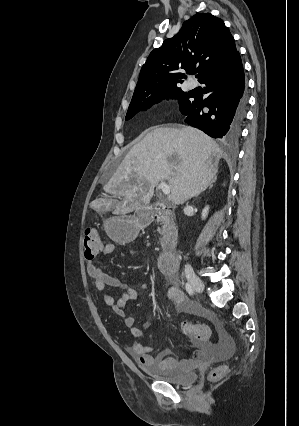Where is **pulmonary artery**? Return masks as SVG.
Here are the masks:
<instances>
[{
	"instance_id": "e3ab8cb5",
	"label": "pulmonary artery",
	"mask_w": 299,
	"mask_h": 426,
	"mask_svg": "<svg viewBox=\"0 0 299 426\" xmlns=\"http://www.w3.org/2000/svg\"><path fill=\"white\" fill-rule=\"evenodd\" d=\"M189 86H190L191 88H194V87L196 86V84H195L194 82H190V83H189Z\"/></svg>"
}]
</instances>
